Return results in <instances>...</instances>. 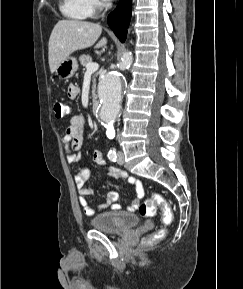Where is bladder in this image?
Here are the masks:
<instances>
[{
	"label": "bladder",
	"instance_id": "1",
	"mask_svg": "<svg viewBox=\"0 0 243 289\" xmlns=\"http://www.w3.org/2000/svg\"><path fill=\"white\" fill-rule=\"evenodd\" d=\"M138 224L139 218L136 214L124 211H106L91 219L94 229L107 233H122Z\"/></svg>",
	"mask_w": 243,
	"mask_h": 289
}]
</instances>
